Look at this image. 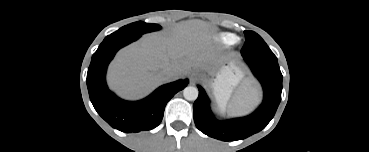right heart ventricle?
<instances>
[{
  "label": "right heart ventricle",
  "mask_w": 369,
  "mask_h": 152,
  "mask_svg": "<svg viewBox=\"0 0 369 152\" xmlns=\"http://www.w3.org/2000/svg\"><path fill=\"white\" fill-rule=\"evenodd\" d=\"M221 41L225 45H232L237 41V37L232 34H224L221 36Z\"/></svg>",
  "instance_id": "e07e8e85"
}]
</instances>
